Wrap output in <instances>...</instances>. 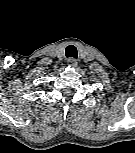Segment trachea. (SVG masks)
<instances>
[{"mask_svg":"<svg viewBox=\"0 0 135 153\" xmlns=\"http://www.w3.org/2000/svg\"><path fill=\"white\" fill-rule=\"evenodd\" d=\"M65 54L67 57L77 58V49L74 45L66 47Z\"/></svg>","mask_w":135,"mask_h":153,"instance_id":"trachea-1","label":"trachea"}]
</instances>
